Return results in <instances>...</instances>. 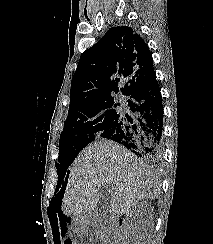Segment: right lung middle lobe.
<instances>
[{"mask_svg": "<svg viewBox=\"0 0 213 244\" xmlns=\"http://www.w3.org/2000/svg\"><path fill=\"white\" fill-rule=\"evenodd\" d=\"M119 103L112 96L100 97L88 104L69 109L59 141L58 185H61L66 169L78 153L96 136L108 129L120 112Z\"/></svg>", "mask_w": 213, "mask_h": 244, "instance_id": "obj_1", "label": "right lung middle lobe"}]
</instances>
